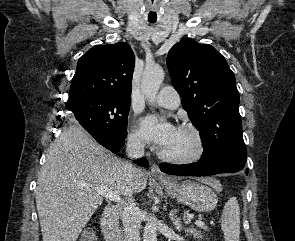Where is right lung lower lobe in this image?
<instances>
[{"label":"right lung lower lobe","mask_w":295,"mask_h":241,"mask_svg":"<svg viewBox=\"0 0 295 241\" xmlns=\"http://www.w3.org/2000/svg\"><path fill=\"white\" fill-rule=\"evenodd\" d=\"M88 132L95 138L96 141L113 153L119 152L124 146L125 139L114 138L107 134L93 130H89ZM137 163L145 167L148 166L146 159H139L137 160Z\"/></svg>","instance_id":"right-lung-lower-lobe-1"}]
</instances>
